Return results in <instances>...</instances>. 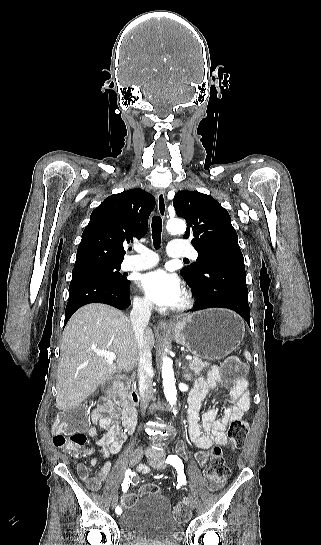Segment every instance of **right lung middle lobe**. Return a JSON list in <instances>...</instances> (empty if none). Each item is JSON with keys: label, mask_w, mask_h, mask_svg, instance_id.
I'll return each instance as SVG.
<instances>
[{"label": "right lung middle lobe", "mask_w": 321, "mask_h": 545, "mask_svg": "<svg viewBox=\"0 0 321 545\" xmlns=\"http://www.w3.org/2000/svg\"><path fill=\"white\" fill-rule=\"evenodd\" d=\"M121 264H115V265H94L89 266L81 269H73L72 275L77 274H94L99 275L102 277H105L107 279L117 281V282H125L126 274H121L119 272Z\"/></svg>", "instance_id": "obj_1"}]
</instances>
